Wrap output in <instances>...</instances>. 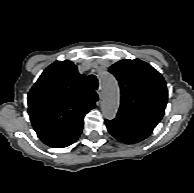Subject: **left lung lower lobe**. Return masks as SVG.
Wrapping results in <instances>:
<instances>
[{"label": "left lung lower lobe", "instance_id": "left-lung-lower-lobe-1", "mask_svg": "<svg viewBox=\"0 0 194 193\" xmlns=\"http://www.w3.org/2000/svg\"><path fill=\"white\" fill-rule=\"evenodd\" d=\"M106 127L117 140L126 144L138 143L147 138L154 126L117 115L113 120H106Z\"/></svg>", "mask_w": 194, "mask_h": 193}]
</instances>
